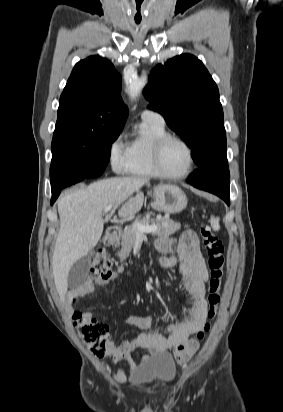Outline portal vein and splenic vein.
Listing matches in <instances>:
<instances>
[{"mask_svg":"<svg viewBox=\"0 0 283 412\" xmlns=\"http://www.w3.org/2000/svg\"><path fill=\"white\" fill-rule=\"evenodd\" d=\"M111 209H112V206L109 205L105 207L104 212L108 213L111 211ZM133 227L138 233H151V232H156L158 229V227L155 225H142L140 223H133Z\"/></svg>","mask_w":283,"mask_h":412,"instance_id":"obj_1","label":"portal vein and splenic vein"}]
</instances>
